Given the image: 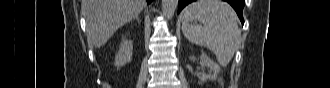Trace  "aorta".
I'll list each match as a JSON object with an SVG mask.
<instances>
[{
  "mask_svg": "<svg viewBox=\"0 0 330 88\" xmlns=\"http://www.w3.org/2000/svg\"><path fill=\"white\" fill-rule=\"evenodd\" d=\"M178 0H162L163 15L171 19L177 9Z\"/></svg>",
  "mask_w": 330,
  "mask_h": 88,
  "instance_id": "obj_1",
  "label": "aorta"
}]
</instances>
